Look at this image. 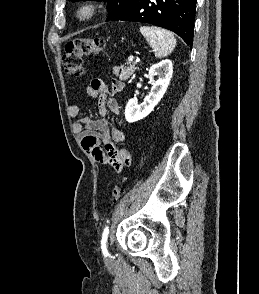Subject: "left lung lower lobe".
I'll list each match as a JSON object with an SVG mask.
<instances>
[{"instance_id": "1", "label": "left lung lower lobe", "mask_w": 259, "mask_h": 294, "mask_svg": "<svg viewBox=\"0 0 259 294\" xmlns=\"http://www.w3.org/2000/svg\"><path fill=\"white\" fill-rule=\"evenodd\" d=\"M196 0H136L107 21H135L166 28L192 47Z\"/></svg>"}]
</instances>
